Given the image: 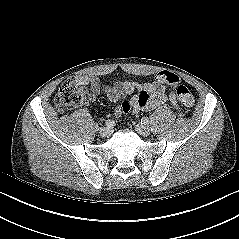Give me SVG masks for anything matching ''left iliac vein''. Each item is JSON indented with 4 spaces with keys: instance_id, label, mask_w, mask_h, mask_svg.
<instances>
[{
    "instance_id": "left-iliac-vein-1",
    "label": "left iliac vein",
    "mask_w": 239,
    "mask_h": 239,
    "mask_svg": "<svg viewBox=\"0 0 239 239\" xmlns=\"http://www.w3.org/2000/svg\"><path fill=\"white\" fill-rule=\"evenodd\" d=\"M135 130L138 134H140L141 136H144V137H147L150 134V130L146 126H143L140 124L135 126Z\"/></svg>"
}]
</instances>
